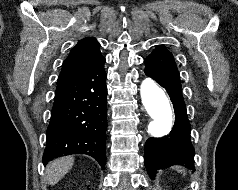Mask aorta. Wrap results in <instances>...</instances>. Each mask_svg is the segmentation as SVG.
I'll use <instances>...</instances> for the list:
<instances>
[{
	"instance_id": "1",
	"label": "aorta",
	"mask_w": 238,
	"mask_h": 190,
	"mask_svg": "<svg viewBox=\"0 0 238 190\" xmlns=\"http://www.w3.org/2000/svg\"><path fill=\"white\" fill-rule=\"evenodd\" d=\"M142 103L151 117L148 126L150 134L159 138L168 134L173 123L170 100L163 88L151 78H146L140 87Z\"/></svg>"
}]
</instances>
